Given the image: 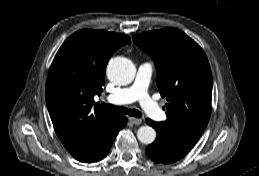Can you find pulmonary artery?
Instances as JSON below:
<instances>
[{
	"label": "pulmonary artery",
	"mask_w": 259,
	"mask_h": 176,
	"mask_svg": "<svg viewBox=\"0 0 259 176\" xmlns=\"http://www.w3.org/2000/svg\"><path fill=\"white\" fill-rule=\"evenodd\" d=\"M152 71L153 68L150 63L141 64L138 67L133 84L109 95L106 98L107 101L115 105L138 101L144 112L152 119L162 120L165 116L163 110L148 93V84L152 76Z\"/></svg>",
	"instance_id": "1"
}]
</instances>
